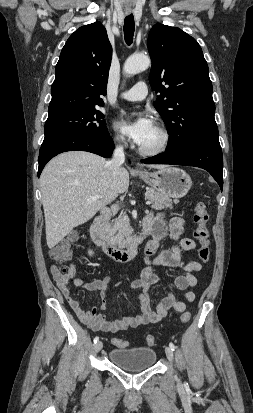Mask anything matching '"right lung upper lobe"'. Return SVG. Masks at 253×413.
Here are the masks:
<instances>
[{
	"label": "right lung upper lobe",
	"mask_w": 253,
	"mask_h": 413,
	"mask_svg": "<svg viewBox=\"0 0 253 413\" xmlns=\"http://www.w3.org/2000/svg\"><path fill=\"white\" fill-rule=\"evenodd\" d=\"M112 47L97 21L80 27L67 40L55 68L49 115L103 105Z\"/></svg>",
	"instance_id": "1"
}]
</instances>
